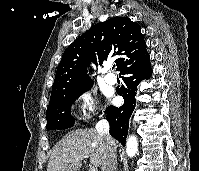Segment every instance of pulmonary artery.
<instances>
[{"mask_svg": "<svg viewBox=\"0 0 199 171\" xmlns=\"http://www.w3.org/2000/svg\"><path fill=\"white\" fill-rule=\"evenodd\" d=\"M104 70L106 72V74L104 75V81L109 85H114L116 83L115 76L112 73L108 72L109 67H106Z\"/></svg>", "mask_w": 199, "mask_h": 171, "instance_id": "obj_1", "label": "pulmonary artery"}]
</instances>
